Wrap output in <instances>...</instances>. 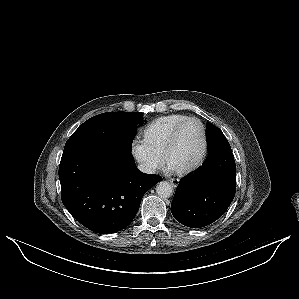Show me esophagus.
Listing matches in <instances>:
<instances>
[{"label":"esophagus","instance_id":"obj_1","mask_svg":"<svg viewBox=\"0 0 299 299\" xmlns=\"http://www.w3.org/2000/svg\"><path fill=\"white\" fill-rule=\"evenodd\" d=\"M170 183H171V185L173 186V187H177L178 186V180H175V179H169L168 180Z\"/></svg>","mask_w":299,"mask_h":299}]
</instances>
